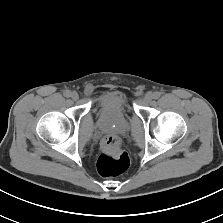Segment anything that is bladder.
Wrapping results in <instances>:
<instances>
[{
  "mask_svg": "<svg viewBox=\"0 0 223 223\" xmlns=\"http://www.w3.org/2000/svg\"><path fill=\"white\" fill-rule=\"evenodd\" d=\"M97 109L106 116H118L129 109L128 98L119 90H107L97 98Z\"/></svg>",
  "mask_w": 223,
  "mask_h": 223,
  "instance_id": "bladder-1",
  "label": "bladder"
}]
</instances>
